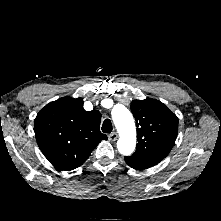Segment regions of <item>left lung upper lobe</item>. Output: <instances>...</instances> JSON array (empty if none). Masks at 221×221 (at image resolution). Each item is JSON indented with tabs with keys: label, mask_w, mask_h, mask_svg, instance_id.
<instances>
[{
	"label": "left lung upper lobe",
	"mask_w": 221,
	"mask_h": 221,
	"mask_svg": "<svg viewBox=\"0 0 221 221\" xmlns=\"http://www.w3.org/2000/svg\"><path fill=\"white\" fill-rule=\"evenodd\" d=\"M131 111L137 123L138 144L125 161L147 169L161 162L171 151L178 132V118L155 99L134 100Z\"/></svg>",
	"instance_id": "5c2ea615"
}]
</instances>
